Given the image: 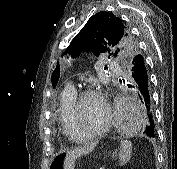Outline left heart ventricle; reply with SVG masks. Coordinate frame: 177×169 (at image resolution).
<instances>
[{"mask_svg": "<svg viewBox=\"0 0 177 169\" xmlns=\"http://www.w3.org/2000/svg\"><path fill=\"white\" fill-rule=\"evenodd\" d=\"M106 118L103 102L95 97H85L79 107L78 129L81 134L90 133L100 128Z\"/></svg>", "mask_w": 177, "mask_h": 169, "instance_id": "left-heart-ventricle-1", "label": "left heart ventricle"}]
</instances>
